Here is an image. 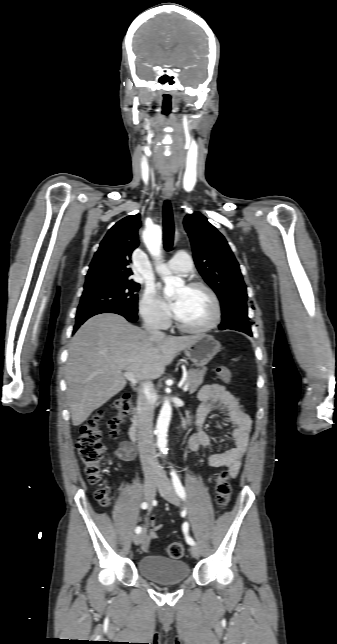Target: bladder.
<instances>
[{
    "mask_svg": "<svg viewBox=\"0 0 337 644\" xmlns=\"http://www.w3.org/2000/svg\"><path fill=\"white\" fill-rule=\"evenodd\" d=\"M139 573L158 584H177L190 575L189 565L182 560L148 555L138 561Z\"/></svg>",
    "mask_w": 337,
    "mask_h": 644,
    "instance_id": "obj_1",
    "label": "bladder"
}]
</instances>
